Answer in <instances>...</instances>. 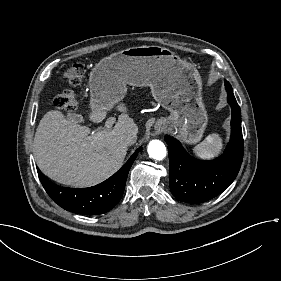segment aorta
I'll list each match as a JSON object with an SVG mask.
<instances>
[{
	"mask_svg": "<svg viewBox=\"0 0 281 281\" xmlns=\"http://www.w3.org/2000/svg\"><path fill=\"white\" fill-rule=\"evenodd\" d=\"M147 151L150 158L159 161L164 159L167 153L164 143L160 140L150 141Z\"/></svg>",
	"mask_w": 281,
	"mask_h": 281,
	"instance_id": "aorta-1",
	"label": "aorta"
}]
</instances>
